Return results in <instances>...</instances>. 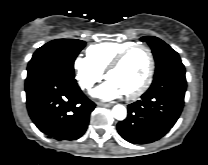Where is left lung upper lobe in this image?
I'll return each instance as SVG.
<instances>
[{"instance_id": "5c2ea615", "label": "left lung upper lobe", "mask_w": 208, "mask_h": 165, "mask_svg": "<svg viewBox=\"0 0 208 165\" xmlns=\"http://www.w3.org/2000/svg\"><path fill=\"white\" fill-rule=\"evenodd\" d=\"M141 40L146 41L152 49L156 63L154 76L170 68L183 66L178 53L161 39L154 36H145Z\"/></svg>"}]
</instances>
